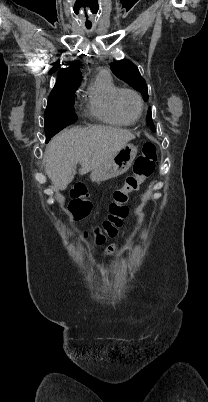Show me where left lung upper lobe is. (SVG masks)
Returning a JSON list of instances; mask_svg holds the SVG:
<instances>
[{"mask_svg":"<svg viewBox=\"0 0 208 402\" xmlns=\"http://www.w3.org/2000/svg\"><path fill=\"white\" fill-rule=\"evenodd\" d=\"M112 72L127 84L138 90L148 100V89L144 78L140 75V72L135 64L125 59L111 63ZM149 124L151 129L155 131V127L152 121L151 115L149 116Z\"/></svg>","mask_w":208,"mask_h":402,"instance_id":"left-lung-upper-lobe-1","label":"left lung upper lobe"}]
</instances>
